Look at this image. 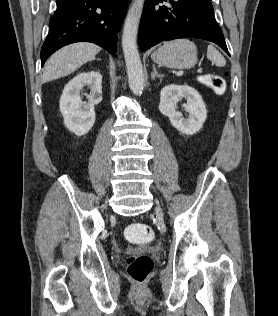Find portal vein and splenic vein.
I'll use <instances>...</instances> for the list:
<instances>
[{
    "instance_id": "obj_1",
    "label": "portal vein and splenic vein",
    "mask_w": 278,
    "mask_h": 316,
    "mask_svg": "<svg viewBox=\"0 0 278 316\" xmlns=\"http://www.w3.org/2000/svg\"><path fill=\"white\" fill-rule=\"evenodd\" d=\"M183 74H184L183 70L176 72V76H178V77L182 76Z\"/></svg>"
}]
</instances>
